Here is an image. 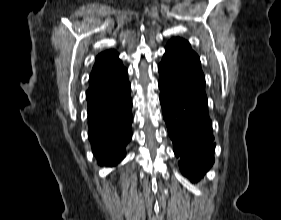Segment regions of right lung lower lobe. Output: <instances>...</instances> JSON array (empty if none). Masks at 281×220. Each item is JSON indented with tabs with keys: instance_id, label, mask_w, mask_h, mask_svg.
<instances>
[{
	"instance_id": "1",
	"label": "right lung lower lobe",
	"mask_w": 281,
	"mask_h": 220,
	"mask_svg": "<svg viewBox=\"0 0 281 220\" xmlns=\"http://www.w3.org/2000/svg\"><path fill=\"white\" fill-rule=\"evenodd\" d=\"M128 79L119 85L86 92L89 140L100 166H116L126 155L133 121Z\"/></svg>"
}]
</instances>
